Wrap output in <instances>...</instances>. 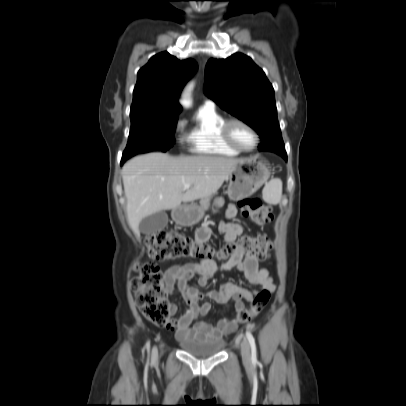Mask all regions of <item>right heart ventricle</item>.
<instances>
[{
  "mask_svg": "<svg viewBox=\"0 0 406 406\" xmlns=\"http://www.w3.org/2000/svg\"><path fill=\"white\" fill-rule=\"evenodd\" d=\"M226 118L214 106H201L194 118V125L185 140L190 151L197 154L237 156L240 152L230 147L222 138Z\"/></svg>",
  "mask_w": 406,
  "mask_h": 406,
  "instance_id": "obj_1",
  "label": "right heart ventricle"
}]
</instances>
